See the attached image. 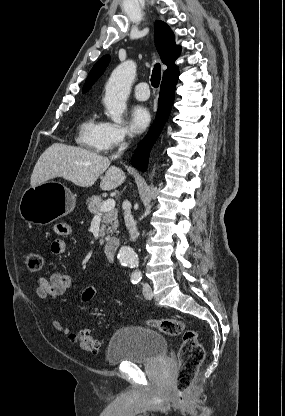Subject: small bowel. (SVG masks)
<instances>
[{
  "instance_id": "small-bowel-1",
  "label": "small bowel",
  "mask_w": 285,
  "mask_h": 416,
  "mask_svg": "<svg viewBox=\"0 0 285 416\" xmlns=\"http://www.w3.org/2000/svg\"><path fill=\"white\" fill-rule=\"evenodd\" d=\"M56 232L59 235H66L69 234L70 228L66 224H59L56 227ZM50 249L55 255L64 254L67 250V243L63 239L57 238L51 243ZM70 286V276L64 273L56 272L51 274L49 277H40L37 280L35 293L43 300L54 299L63 295ZM52 326L60 333H69V329L58 319H52Z\"/></svg>"
}]
</instances>
